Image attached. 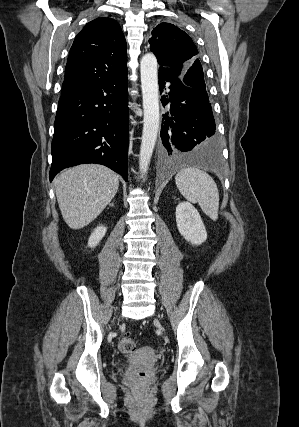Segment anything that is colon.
I'll list each match as a JSON object with an SVG mask.
<instances>
[{
  "mask_svg": "<svg viewBox=\"0 0 299 427\" xmlns=\"http://www.w3.org/2000/svg\"><path fill=\"white\" fill-rule=\"evenodd\" d=\"M135 342L130 337H123L119 342V349L123 353H131L135 350Z\"/></svg>",
  "mask_w": 299,
  "mask_h": 427,
  "instance_id": "1",
  "label": "colon"
}]
</instances>
